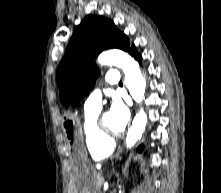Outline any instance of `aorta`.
Returning <instances> with one entry per match:
<instances>
[{
    "label": "aorta",
    "instance_id": "aorta-1",
    "mask_svg": "<svg viewBox=\"0 0 221 193\" xmlns=\"http://www.w3.org/2000/svg\"><path fill=\"white\" fill-rule=\"evenodd\" d=\"M98 63L105 66H117L125 74L124 84L130 92V95L136 102H141L146 82L139 68V64L130 55L118 49H112L101 53L98 57ZM147 124V114L141 109L133 119L132 125L128 129L126 136L127 148L133 147L142 137Z\"/></svg>",
    "mask_w": 221,
    "mask_h": 193
}]
</instances>
